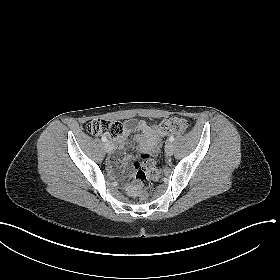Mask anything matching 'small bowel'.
<instances>
[{"mask_svg":"<svg viewBox=\"0 0 280 280\" xmlns=\"http://www.w3.org/2000/svg\"><path fill=\"white\" fill-rule=\"evenodd\" d=\"M156 125L150 124L145 120L127 121L122 128V134L114 139V144L118 149H122L126 144V138L134 133L133 142L140 152L142 157L149 156L150 153H155L158 151L159 142L161 135L156 134ZM135 157L132 155H125L122 158L123 163H127L133 160ZM117 161L110 159V163L114 164Z\"/></svg>","mask_w":280,"mask_h":280,"instance_id":"c3829d8e","label":"small bowel"}]
</instances>
